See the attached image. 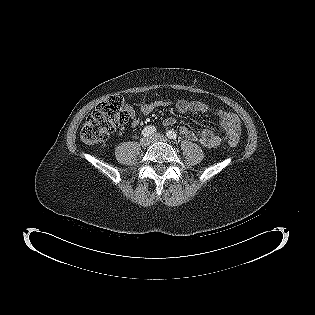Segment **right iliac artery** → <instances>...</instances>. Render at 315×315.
<instances>
[{"label": "right iliac artery", "mask_w": 315, "mask_h": 315, "mask_svg": "<svg viewBox=\"0 0 315 315\" xmlns=\"http://www.w3.org/2000/svg\"><path fill=\"white\" fill-rule=\"evenodd\" d=\"M155 132H156V128L154 126H147L143 129L142 135L146 137V136H150L154 134Z\"/></svg>", "instance_id": "right-iliac-artery-1"}]
</instances>
